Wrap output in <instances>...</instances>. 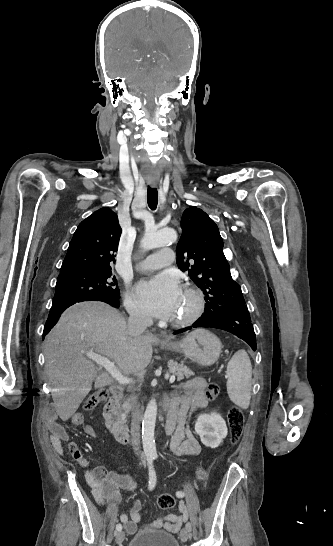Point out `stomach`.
Returning a JSON list of instances; mask_svg holds the SVG:
<instances>
[{"instance_id": "0dacf381", "label": "stomach", "mask_w": 333, "mask_h": 546, "mask_svg": "<svg viewBox=\"0 0 333 546\" xmlns=\"http://www.w3.org/2000/svg\"><path fill=\"white\" fill-rule=\"evenodd\" d=\"M168 349L183 353L201 366H211L219 358L222 344L220 339L205 329H196L182 340L167 344Z\"/></svg>"}]
</instances>
